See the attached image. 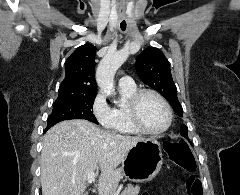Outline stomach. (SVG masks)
<instances>
[{
	"instance_id": "1",
	"label": "stomach",
	"mask_w": 240,
	"mask_h": 195,
	"mask_svg": "<svg viewBox=\"0 0 240 195\" xmlns=\"http://www.w3.org/2000/svg\"><path fill=\"white\" fill-rule=\"evenodd\" d=\"M162 149L157 137H144L137 141L122 161V175L130 181H151L159 173L162 163Z\"/></svg>"
}]
</instances>
